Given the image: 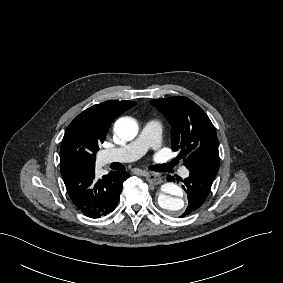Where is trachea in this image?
<instances>
[{
    "mask_svg": "<svg viewBox=\"0 0 283 283\" xmlns=\"http://www.w3.org/2000/svg\"><path fill=\"white\" fill-rule=\"evenodd\" d=\"M163 167H164V170H163L164 172H167V171H168V172H171L172 169H173V167H165V166H163ZM157 171H158V172H162V170H160V169H158Z\"/></svg>",
    "mask_w": 283,
    "mask_h": 283,
    "instance_id": "obj_1",
    "label": "trachea"
}]
</instances>
